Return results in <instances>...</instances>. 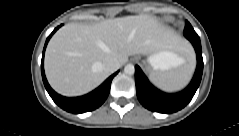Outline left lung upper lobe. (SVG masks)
Segmentation results:
<instances>
[{
	"label": "left lung upper lobe",
	"mask_w": 239,
	"mask_h": 136,
	"mask_svg": "<svg viewBox=\"0 0 239 136\" xmlns=\"http://www.w3.org/2000/svg\"><path fill=\"white\" fill-rule=\"evenodd\" d=\"M193 35H197V34L194 31V29L192 28L191 24L188 21H186L185 29H184V36L188 39L189 37H191Z\"/></svg>",
	"instance_id": "1"
}]
</instances>
